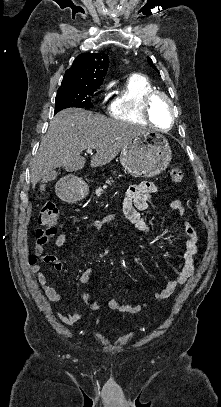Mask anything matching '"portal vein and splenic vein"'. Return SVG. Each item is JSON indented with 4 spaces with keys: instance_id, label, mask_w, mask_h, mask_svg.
Listing matches in <instances>:
<instances>
[{
    "instance_id": "obj_1",
    "label": "portal vein and splenic vein",
    "mask_w": 221,
    "mask_h": 407,
    "mask_svg": "<svg viewBox=\"0 0 221 407\" xmlns=\"http://www.w3.org/2000/svg\"><path fill=\"white\" fill-rule=\"evenodd\" d=\"M92 151H93L92 149H87V150H86V152H87L88 154H92Z\"/></svg>"
}]
</instances>
